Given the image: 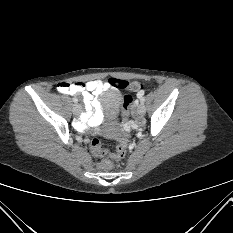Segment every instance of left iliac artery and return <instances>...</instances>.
Segmentation results:
<instances>
[{"label": "left iliac artery", "mask_w": 233, "mask_h": 233, "mask_svg": "<svg viewBox=\"0 0 233 233\" xmlns=\"http://www.w3.org/2000/svg\"><path fill=\"white\" fill-rule=\"evenodd\" d=\"M139 98H141V99H140L141 103H144V102H145V97L140 96Z\"/></svg>", "instance_id": "obj_1"}]
</instances>
